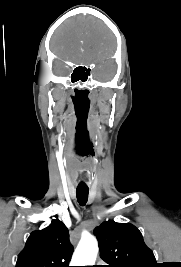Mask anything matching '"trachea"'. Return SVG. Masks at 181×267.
<instances>
[{
    "mask_svg": "<svg viewBox=\"0 0 181 267\" xmlns=\"http://www.w3.org/2000/svg\"><path fill=\"white\" fill-rule=\"evenodd\" d=\"M89 189L88 187H77L76 194L77 200L81 206H84L88 199Z\"/></svg>",
    "mask_w": 181,
    "mask_h": 267,
    "instance_id": "1",
    "label": "trachea"
}]
</instances>
